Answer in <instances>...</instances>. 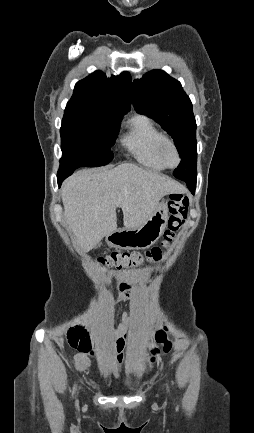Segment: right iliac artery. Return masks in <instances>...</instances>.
<instances>
[{
    "label": "right iliac artery",
    "mask_w": 254,
    "mask_h": 433,
    "mask_svg": "<svg viewBox=\"0 0 254 433\" xmlns=\"http://www.w3.org/2000/svg\"><path fill=\"white\" fill-rule=\"evenodd\" d=\"M74 391H75V386H74V388H73V393H74Z\"/></svg>",
    "instance_id": "obj_1"
}]
</instances>
